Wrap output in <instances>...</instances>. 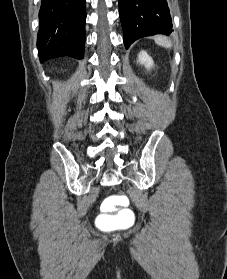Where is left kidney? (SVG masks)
<instances>
[{"mask_svg":"<svg viewBox=\"0 0 227 279\" xmlns=\"http://www.w3.org/2000/svg\"><path fill=\"white\" fill-rule=\"evenodd\" d=\"M138 62L145 66L146 69L150 70L154 67V62L152 58L146 53V51H141L138 55Z\"/></svg>","mask_w":227,"mask_h":279,"instance_id":"obj_1","label":"left kidney"}]
</instances>
